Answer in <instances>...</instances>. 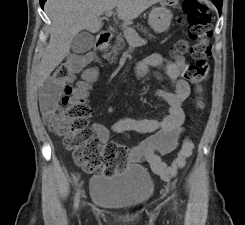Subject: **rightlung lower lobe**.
Returning <instances> with one entry per match:
<instances>
[{
    "instance_id": "98d812e1",
    "label": "right lung lower lobe",
    "mask_w": 245,
    "mask_h": 225,
    "mask_svg": "<svg viewBox=\"0 0 245 225\" xmlns=\"http://www.w3.org/2000/svg\"><path fill=\"white\" fill-rule=\"evenodd\" d=\"M46 2V0H40V5H41V8L43 9L44 7V3Z\"/></svg>"
}]
</instances>
